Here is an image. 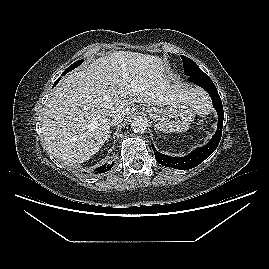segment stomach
<instances>
[{
	"label": "stomach",
	"instance_id": "stomach-1",
	"mask_svg": "<svg viewBox=\"0 0 269 269\" xmlns=\"http://www.w3.org/2000/svg\"><path fill=\"white\" fill-rule=\"evenodd\" d=\"M142 110L156 122V129L164 133L187 131L196 114V110L191 105L184 103L166 107L144 104Z\"/></svg>",
	"mask_w": 269,
	"mask_h": 269
}]
</instances>
